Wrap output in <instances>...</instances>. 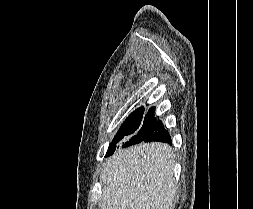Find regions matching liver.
<instances>
[{"instance_id": "obj_1", "label": "liver", "mask_w": 253, "mask_h": 209, "mask_svg": "<svg viewBox=\"0 0 253 209\" xmlns=\"http://www.w3.org/2000/svg\"><path fill=\"white\" fill-rule=\"evenodd\" d=\"M175 155L156 142L119 150L103 167L101 209H172Z\"/></svg>"}]
</instances>
